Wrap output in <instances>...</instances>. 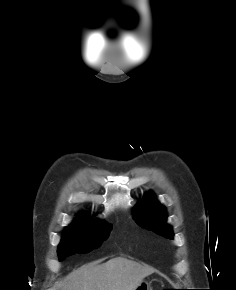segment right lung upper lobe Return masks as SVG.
Listing matches in <instances>:
<instances>
[{
    "label": "right lung upper lobe",
    "instance_id": "obj_1",
    "mask_svg": "<svg viewBox=\"0 0 236 290\" xmlns=\"http://www.w3.org/2000/svg\"><path fill=\"white\" fill-rule=\"evenodd\" d=\"M90 222H97V220L87 219V218H84V215H81L80 218H76L74 224H84V223H90Z\"/></svg>",
    "mask_w": 236,
    "mask_h": 290
}]
</instances>
